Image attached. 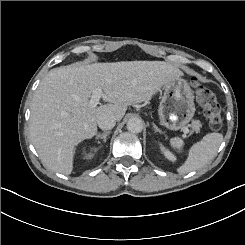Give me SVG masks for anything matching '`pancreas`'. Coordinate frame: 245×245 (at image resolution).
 I'll list each match as a JSON object with an SVG mask.
<instances>
[{"mask_svg":"<svg viewBox=\"0 0 245 245\" xmlns=\"http://www.w3.org/2000/svg\"><path fill=\"white\" fill-rule=\"evenodd\" d=\"M189 127L192 128L193 131H195L196 133L200 132V128L202 127V124L199 120H192L191 124L189 125Z\"/></svg>","mask_w":245,"mask_h":245,"instance_id":"obj_1","label":"pancreas"}]
</instances>
